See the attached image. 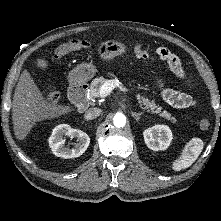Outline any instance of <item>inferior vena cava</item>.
Segmentation results:
<instances>
[{"label":"inferior vena cava","instance_id":"inferior-vena-cava-1","mask_svg":"<svg viewBox=\"0 0 221 221\" xmlns=\"http://www.w3.org/2000/svg\"><path fill=\"white\" fill-rule=\"evenodd\" d=\"M102 110L100 108H90L85 112L84 117L87 120L95 119L101 114Z\"/></svg>","mask_w":221,"mask_h":221}]
</instances>
